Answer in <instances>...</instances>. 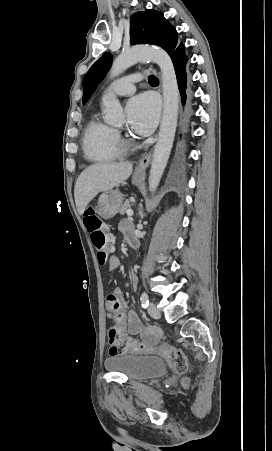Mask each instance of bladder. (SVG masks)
<instances>
[{
  "instance_id": "bladder-1",
  "label": "bladder",
  "mask_w": 272,
  "mask_h": 451,
  "mask_svg": "<svg viewBox=\"0 0 272 451\" xmlns=\"http://www.w3.org/2000/svg\"><path fill=\"white\" fill-rule=\"evenodd\" d=\"M104 366L107 371L124 375L131 381L161 377L167 369L164 358L130 352L111 354L105 359Z\"/></svg>"
}]
</instances>
